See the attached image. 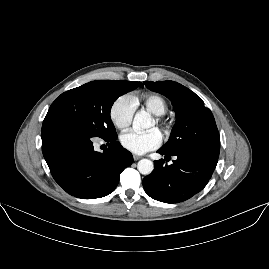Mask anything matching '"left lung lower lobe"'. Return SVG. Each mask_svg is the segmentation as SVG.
Here are the masks:
<instances>
[{
    "mask_svg": "<svg viewBox=\"0 0 269 269\" xmlns=\"http://www.w3.org/2000/svg\"><path fill=\"white\" fill-rule=\"evenodd\" d=\"M158 153L168 161L175 156L171 165L163 159L154 162V171L143 179L145 192L153 199L165 203H178L200 192L208 183L217 165L218 157L162 147Z\"/></svg>",
    "mask_w": 269,
    "mask_h": 269,
    "instance_id": "left-lung-lower-lobe-1",
    "label": "left lung lower lobe"
}]
</instances>
